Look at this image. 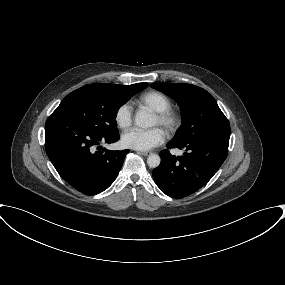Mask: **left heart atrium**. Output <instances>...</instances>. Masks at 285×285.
Segmentation results:
<instances>
[{"label": "left heart atrium", "instance_id": "1", "mask_svg": "<svg viewBox=\"0 0 285 285\" xmlns=\"http://www.w3.org/2000/svg\"><path fill=\"white\" fill-rule=\"evenodd\" d=\"M164 132L154 127L147 130L133 128L122 135V143L125 147L147 151L163 143Z\"/></svg>", "mask_w": 285, "mask_h": 285}]
</instances>
